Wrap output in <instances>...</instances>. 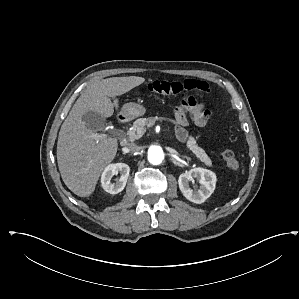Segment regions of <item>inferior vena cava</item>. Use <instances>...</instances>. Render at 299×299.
Instances as JSON below:
<instances>
[{
  "label": "inferior vena cava",
  "mask_w": 299,
  "mask_h": 299,
  "mask_svg": "<svg viewBox=\"0 0 299 299\" xmlns=\"http://www.w3.org/2000/svg\"><path fill=\"white\" fill-rule=\"evenodd\" d=\"M127 148L129 150V152H131V153H137L141 150V147L135 143H129Z\"/></svg>",
  "instance_id": "1"
}]
</instances>
